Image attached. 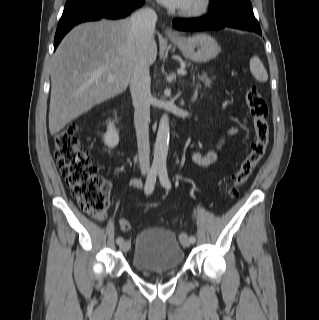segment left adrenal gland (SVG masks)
Segmentation results:
<instances>
[{"label": "left adrenal gland", "instance_id": "obj_1", "mask_svg": "<svg viewBox=\"0 0 319 320\" xmlns=\"http://www.w3.org/2000/svg\"><path fill=\"white\" fill-rule=\"evenodd\" d=\"M196 99V92H195V94H194V96H193V99L192 100H195Z\"/></svg>", "mask_w": 319, "mask_h": 320}]
</instances>
